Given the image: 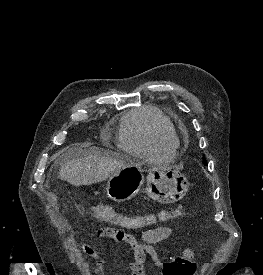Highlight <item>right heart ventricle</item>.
<instances>
[{"label":"right heart ventricle","instance_id":"1","mask_svg":"<svg viewBox=\"0 0 263 275\" xmlns=\"http://www.w3.org/2000/svg\"><path fill=\"white\" fill-rule=\"evenodd\" d=\"M117 143L120 149L136 156L171 157L176 149V135L171 121L148 106L122 118Z\"/></svg>","mask_w":263,"mask_h":275}]
</instances>
